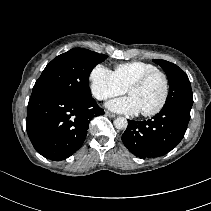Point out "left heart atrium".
I'll use <instances>...</instances> for the list:
<instances>
[{
    "label": "left heart atrium",
    "mask_w": 211,
    "mask_h": 211,
    "mask_svg": "<svg viewBox=\"0 0 211 211\" xmlns=\"http://www.w3.org/2000/svg\"><path fill=\"white\" fill-rule=\"evenodd\" d=\"M106 106L115 112L124 113L128 115H135L140 112L136 101L131 96L113 99L109 101Z\"/></svg>",
    "instance_id": "left-heart-atrium-1"
}]
</instances>
